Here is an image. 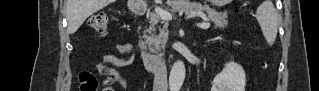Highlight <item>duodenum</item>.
<instances>
[{
    "label": "duodenum",
    "instance_id": "obj_1",
    "mask_svg": "<svg viewBox=\"0 0 319 91\" xmlns=\"http://www.w3.org/2000/svg\"><path fill=\"white\" fill-rule=\"evenodd\" d=\"M134 11L138 15H144L146 12L145 9L142 7H137L134 9ZM137 50L147 71L152 72L162 64V56L153 55L147 52L144 48L143 42L140 40L137 42Z\"/></svg>",
    "mask_w": 319,
    "mask_h": 91
}]
</instances>
